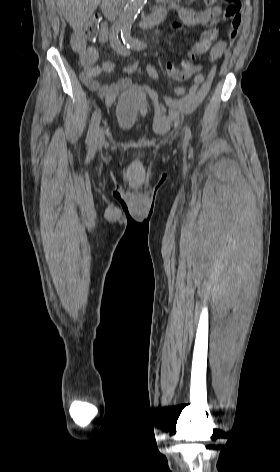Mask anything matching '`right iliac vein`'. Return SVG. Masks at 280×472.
Returning a JSON list of instances; mask_svg holds the SVG:
<instances>
[{"instance_id": "right-iliac-vein-1", "label": "right iliac vein", "mask_w": 280, "mask_h": 472, "mask_svg": "<svg viewBox=\"0 0 280 472\" xmlns=\"http://www.w3.org/2000/svg\"><path fill=\"white\" fill-rule=\"evenodd\" d=\"M104 141V132L102 128L98 129L97 136H96V142L98 145H101Z\"/></svg>"}]
</instances>
